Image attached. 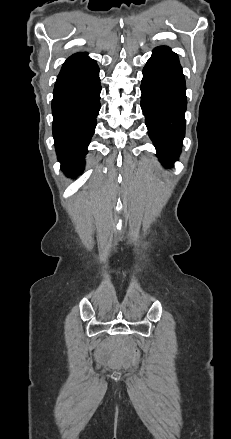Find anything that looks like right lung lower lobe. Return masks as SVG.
Masks as SVG:
<instances>
[{
    "mask_svg": "<svg viewBox=\"0 0 231 439\" xmlns=\"http://www.w3.org/2000/svg\"><path fill=\"white\" fill-rule=\"evenodd\" d=\"M99 67L87 57L59 73L53 92V137L61 169L75 177L84 169L87 146L100 110Z\"/></svg>",
    "mask_w": 231,
    "mask_h": 439,
    "instance_id": "right-lung-lower-lobe-1",
    "label": "right lung lower lobe"
}]
</instances>
